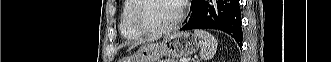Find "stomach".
<instances>
[{
  "mask_svg": "<svg viewBox=\"0 0 331 62\" xmlns=\"http://www.w3.org/2000/svg\"><path fill=\"white\" fill-rule=\"evenodd\" d=\"M201 46L199 37L190 32H172L162 42H150L141 46L134 62H159L163 56L174 59L194 54Z\"/></svg>",
  "mask_w": 331,
  "mask_h": 62,
  "instance_id": "obj_1",
  "label": "stomach"
}]
</instances>
